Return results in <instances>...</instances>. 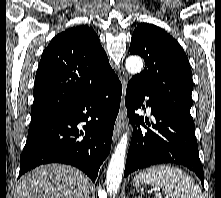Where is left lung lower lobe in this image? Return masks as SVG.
Masks as SVG:
<instances>
[{"instance_id": "1", "label": "left lung lower lobe", "mask_w": 221, "mask_h": 198, "mask_svg": "<svg viewBox=\"0 0 221 198\" xmlns=\"http://www.w3.org/2000/svg\"><path fill=\"white\" fill-rule=\"evenodd\" d=\"M145 96H149L147 105L151 107L156 122L150 124L146 120L151 126L146 128L143 117L134 115L136 127L133 129L124 177L150 165L175 163L194 171L203 184L204 173L199 159L194 123L171 112L146 89L132 81L128 83L126 90L125 104L128 114L142 106ZM140 125L145 129H141Z\"/></svg>"}]
</instances>
